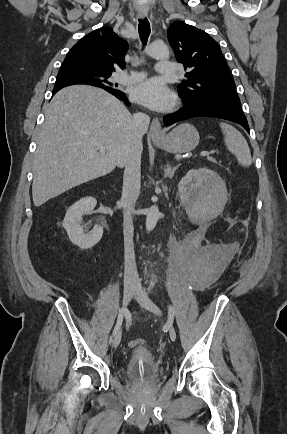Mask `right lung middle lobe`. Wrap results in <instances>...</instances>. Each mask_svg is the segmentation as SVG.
Segmentation results:
<instances>
[{
	"label": "right lung middle lobe",
	"instance_id": "dd1d6c3e",
	"mask_svg": "<svg viewBox=\"0 0 287 434\" xmlns=\"http://www.w3.org/2000/svg\"><path fill=\"white\" fill-rule=\"evenodd\" d=\"M110 74H100L79 69H61L57 75L56 84L75 83L97 86L105 90H119L118 85L110 82Z\"/></svg>",
	"mask_w": 287,
	"mask_h": 434
}]
</instances>
